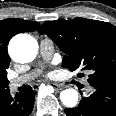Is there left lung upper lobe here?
<instances>
[{"instance_id":"5c2ea615","label":"left lung upper lobe","mask_w":116,"mask_h":116,"mask_svg":"<svg viewBox=\"0 0 116 116\" xmlns=\"http://www.w3.org/2000/svg\"><path fill=\"white\" fill-rule=\"evenodd\" d=\"M66 54L63 67L90 72L88 82L116 83V27L85 18L47 21L39 30Z\"/></svg>"}]
</instances>
